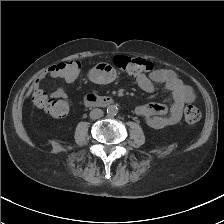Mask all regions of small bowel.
<instances>
[{"label":"small bowel","mask_w":224,"mask_h":224,"mask_svg":"<svg viewBox=\"0 0 224 224\" xmlns=\"http://www.w3.org/2000/svg\"><path fill=\"white\" fill-rule=\"evenodd\" d=\"M55 65L44 70L32 83V87L38 91L41 83L47 76L61 78L55 70ZM116 73L114 69L105 63L93 67L89 72V79L98 84H108L114 81ZM163 83L172 93L173 103L170 106L160 103H150L137 106L136 114L151 128L161 129L178 123L182 117V111L187 103H191L195 96L191 87L181 81L178 75L170 70L156 67L154 72L148 75H139L134 78V83L143 91L153 93L154 83ZM94 91L88 95H96ZM87 95V96H88ZM56 98L69 99L66 91L62 87H56L52 93ZM86 96V97H87Z\"/></svg>","instance_id":"obj_1"}]
</instances>
